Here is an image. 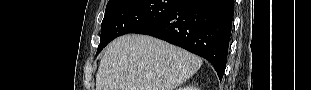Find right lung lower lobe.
Wrapping results in <instances>:
<instances>
[{
    "label": "right lung lower lobe",
    "instance_id": "obj_1",
    "mask_svg": "<svg viewBox=\"0 0 311 90\" xmlns=\"http://www.w3.org/2000/svg\"><path fill=\"white\" fill-rule=\"evenodd\" d=\"M233 14L234 0H182L169 14L136 33L154 36L204 57L221 80Z\"/></svg>",
    "mask_w": 311,
    "mask_h": 90
}]
</instances>
